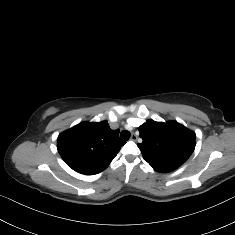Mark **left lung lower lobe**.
<instances>
[{
  "instance_id": "0a47b994",
  "label": "left lung lower lobe",
  "mask_w": 235,
  "mask_h": 235,
  "mask_svg": "<svg viewBox=\"0 0 235 235\" xmlns=\"http://www.w3.org/2000/svg\"><path fill=\"white\" fill-rule=\"evenodd\" d=\"M150 165L155 171L160 172V173L171 172L178 168V167H172V166L161 165V164H150Z\"/></svg>"
}]
</instances>
